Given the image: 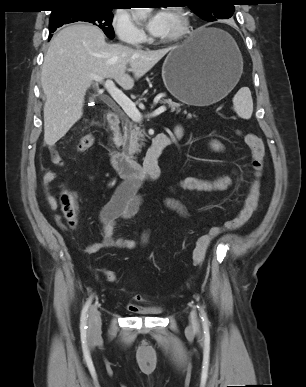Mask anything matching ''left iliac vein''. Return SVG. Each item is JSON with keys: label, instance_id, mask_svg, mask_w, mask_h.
Segmentation results:
<instances>
[{"label": "left iliac vein", "instance_id": "left-iliac-vein-1", "mask_svg": "<svg viewBox=\"0 0 306 387\" xmlns=\"http://www.w3.org/2000/svg\"><path fill=\"white\" fill-rule=\"evenodd\" d=\"M190 321H191L192 327L196 328V327L198 326V321H197V318H196V313H195V311H193V312L191 313Z\"/></svg>", "mask_w": 306, "mask_h": 387}]
</instances>
